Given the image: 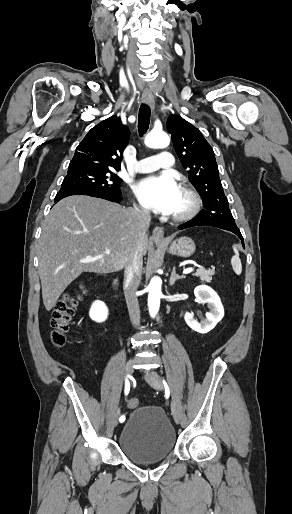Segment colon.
I'll list each match as a JSON object with an SVG mask.
<instances>
[{"label": "colon", "instance_id": "5ec220e1", "mask_svg": "<svg viewBox=\"0 0 292 514\" xmlns=\"http://www.w3.org/2000/svg\"><path fill=\"white\" fill-rule=\"evenodd\" d=\"M83 299V293L79 288L67 292L61 300L56 302L55 310L50 318V338L54 347L61 348L66 341L69 322L74 313L75 307ZM127 406L133 410L141 408L137 398L130 397L126 400Z\"/></svg>", "mask_w": 292, "mask_h": 514}]
</instances>
